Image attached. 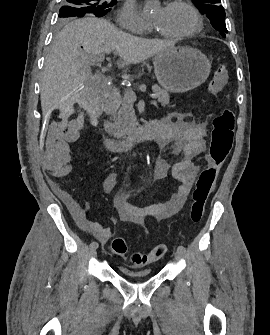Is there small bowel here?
<instances>
[{"label":"small bowel","mask_w":270,"mask_h":335,"mask_svg":"<svg viewBox=\"0 0 270 335\" xmlns=\"http://www.w3.org/2000/svg\"><path fill=\"white\" fill-rule=\"evenodd\" d=\"M78 120L47 121V133L44 140L45 150L50 152L49 158H41V165L46 169H59L57 175H67L68 169H78V162L69 157L68 151H74V144H65L67 141L76 139V132L79 128ZM161 134L158 137L157 146L159 149L169 147L174 161H169L158 156L156 158L153 178L156 180L165 179L169 176L179 182L175 193L163 202L138 207L128 203L123 194L114 202V210L121 222L134 223L145 227L147 220H163L177 213L186 201L194 184L198 166L194 158L205 151V124L173 120L169 118L160 121ZM118 175L116 172L109 173L101 183V190L107 194L112 191ZM65 199L70 200L68 195ZM75 218L80 228L101 242H107L111 238V230L108 226L92 221L84 210L75 211Z\"/></svg>","instance_id":"c3829d8e"}]
</instances>
